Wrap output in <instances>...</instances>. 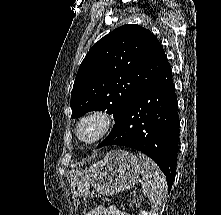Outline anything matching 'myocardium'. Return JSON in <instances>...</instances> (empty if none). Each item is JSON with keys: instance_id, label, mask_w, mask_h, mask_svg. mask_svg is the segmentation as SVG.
Listing matches in <instances>:
<instances>
[{"instance_id": "f54148a6", "label": "myocardium", "mask_w": 221, "mask_h": 215, "mask_svg": "<svg viewBox=\"0 0 221 215\" xmlns=\"http://www.w3.org/2000/svg\"><path fill=\"white\" fill-rule=\"evenodd\" d=\"M96 124V131L90 138L82 136L83 127L89 123ZM114 120L112 115L103 109H93L84 113L77 121L75 126V137L77 141L84 146H91L106 137L112 130Z\"/></svg>"}]
</instances>
